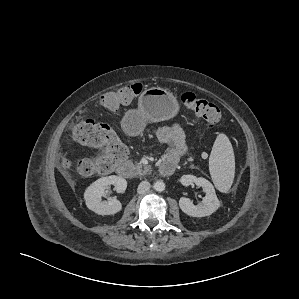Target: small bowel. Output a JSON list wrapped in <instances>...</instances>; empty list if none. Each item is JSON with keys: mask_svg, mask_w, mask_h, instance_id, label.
I'll use <instances>...</instances> for the list:
<instances>
[{"mask_svg": "<svg viewBox=\"0 0 299 299\" xmlns=\"http://www.w3.org/2000/svg\"><path fill=\"white\" fill-rule=\"evenodd\" d=\"M157 138L161 143L169 146L165 160L177 164L187 151L182 127L178 123L163 125L157 130Z\"/></svg>", "mask_w": 299, "mask_h": 299, "instance_id": "c3829d8e", "label": "small bowel"}]
</instances>
